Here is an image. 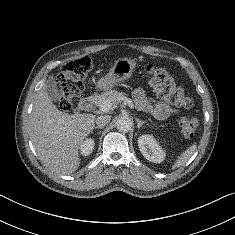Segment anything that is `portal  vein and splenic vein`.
I'll return each mask as SVG.
<instances>
[{
    "label": "portal vein and splenic vein",
    "instance_id": "portal-vein-and-splenic-vein-1",
    "mask_svg": "<svg viewBox=\"0 0 235 235\" xmlns=\"http://www.w3.org/2000/svg\"><path fill=\"white\" fill-rule=\"evenodd\" d=\"M121 100H123L126 104H128V106L131 108V109H134V104L132 102L131 99L127 98V97H121ZM112 107V103L110 101H104L100 106H99V109L101 112H108L110 111Z\"/></svg>",
    "mask_w": 235,
    "mask_h": 235
}]
</instances>
